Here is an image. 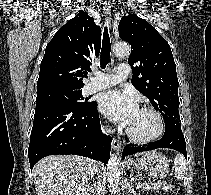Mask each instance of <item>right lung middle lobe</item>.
I'll use <instances>...</instances> for the list:
<instances>
[{"label": "right lung middle lobe", "mask_w": 211, "mask_h": 195, "mask_svg": "<svg viewBox=\"0 0 211 195\" xmlns=\"http://www.w3.org/2000/svg\"><path fill=\"white\" fill-rule=\"evenodd\" d=\"M83 99L80 88L51 89L37 93L36 106L43 103H57L71 107L87 106L89 102Z\"/></svg>", "instance_id": "1"}]
</instances>
